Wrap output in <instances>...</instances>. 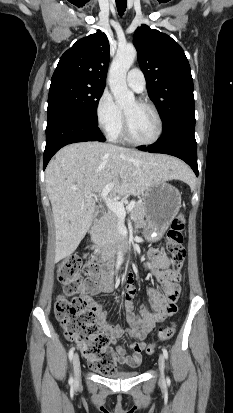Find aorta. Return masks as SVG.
Returning <instances> with one entry per match:
<instances>
[{
	"instance_id": "762f6f07",
	"label": "aorta",
	"mask_w": 233,
	"mask_h": 413,
	"mask_svg": "<svg viewBox=\"0 0 233 413\" xmlns=\"http://www.w3.org/2000/svg\"><path fill=\"white\" fill-rule=\"evenodd\" d=\"M137 56V51L133 46L118 48L115 58L109 71V86L114 95L115 102L120 107L131 105L135 101L132 91L126 84V75ZM123 261L121 251L117 255V264L120 265Z\"/></svg>"
}]
</instances>
